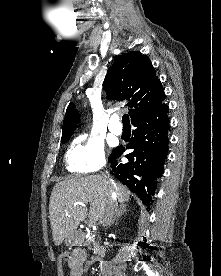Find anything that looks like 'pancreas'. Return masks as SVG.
I'll list each match as a JSON object with an SVG mask.
<instances>
[{
	"label": "pancreas",
	"mask_w": 221,
	"mask_h": 276,
	"mask_svg": "<svg viewBox=\"0 0 221 276\" xmlns=\"http://www.w3.org/2000/svg\"><path fill=\"white\" fill-rule=\"evenodd\" d=\"M94 246V249H96L98 247L97 242L95 241V235H90L86 241V245L90 246V245Z\"/></svg>",
	"instance_id": "cf45deb5"
}]
</instances>
